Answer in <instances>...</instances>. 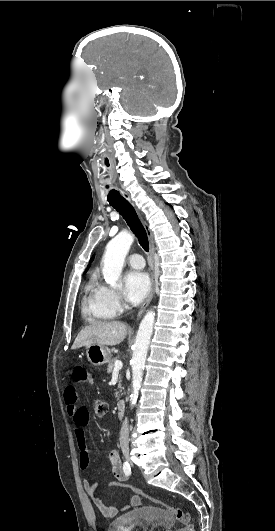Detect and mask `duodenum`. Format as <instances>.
Returning <instances> with one entry per match:
<instances>
[{
	"label": "duodenum",
	"mask_w": 275,
	"mask_h": 531,
	"mask_svg": "<svg viewBox=\"0 0 275 531\" xmlns=\"http://www.w3.org/2000/svg\"><path fill=\"white\" fill-rule=\"evenodd\" d=\"M116 411L119 417H123L126 411V401L120 400L117 403Z\"/></svg>",
	"instance_id": "obj_1"
}]
</instances>
